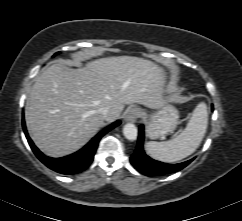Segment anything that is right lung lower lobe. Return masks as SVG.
<instances>
[{
  "mask_svg": "<svg viewBox=\"0 0 242 221\" xmlns=\"http://www.w3.org/2000/svg\"><path fill=\"white\" fill-rule=\"evenodd\" d=\"M121 122L116 121L109 127L105 128L99 134H97L87 145H85L81 150L76 153L63 157V158H51L45 156L32 142L29 138L25 122L23 120V130L26 138L29 142L31 149L37 158L44 163L48 168L65 175H72L84 171L92 162L95 151L98 147V143L103 135L108 131L118 126Z\"/></svg>",
  "mask_w": 242,
  "mask_h": 221,
  "instance_id": "1",
  "label": "right lung lower lobe"
}]
</instances>
